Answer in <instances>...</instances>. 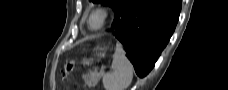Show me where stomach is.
<instances>
[{
	"instance_id": "0dacf381",
	"label": "stomach",
	"mask_w": 228,
	"mask_h": 90,
	"mask_svg": "<svg viewBox=\"0 0 228 90\" xmlns=\"http://www.w3.org/2000/svg\"><path fill=\"white\" fill-rule=\"evenodd\" d=\"M99 56H100V57H102V56H103V54H101V53H100V54H99Z\"/></svg>"
}]
</instances>
